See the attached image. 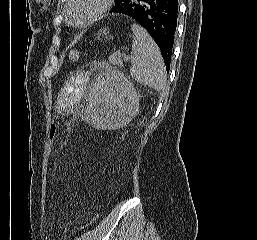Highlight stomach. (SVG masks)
Listing matches in <instances>:
<instances>
[{
	"label": "stomach",
	"mask_w": 257,
	"mask_h": 240,
	"mask_svg": "<svg viewBox=\"0 0 257 240\" xmlns=\"http://www.w3.org/2000/svg\"><path fill=\"white\" fill-rule=\"evenodd\" d=\"M105 35V36H107L108 34H109V30L108 29H103V30H101L100 31V33L98 34V36H100V35Z\"/></svg>",
	"instance_id": "0dacf381"
}]
</instances>
